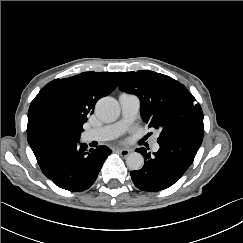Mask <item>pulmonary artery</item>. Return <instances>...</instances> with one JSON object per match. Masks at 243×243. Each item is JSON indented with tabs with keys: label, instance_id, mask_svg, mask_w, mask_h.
Instances as JSON below:
<instances>
[{
	"label": "pulmonary artery",
	"instance_id": "e3ab8cb5",
	"mask_svg": "<svg viewBox=\"0 0 243 243\" xmlns=\"http://www.w3.org/2000/svg\"><path fill=\"white\" fill-rule=\"evenodd\" d=\"M119 101L122 111L121 119L114 124L85 131L82 134L84 142L110 140L118 137L128 128L139 111L140 100L137 96L132 94H121ZM159 148L160 146L157 139L154 138L152 141V149L158 151Z\"/></svg>",
	"mask_w": 243,
	"mask_h": 243
}]
</instances>
